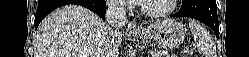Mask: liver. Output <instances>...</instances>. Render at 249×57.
<instances>
[{
	"mask_svg": "<svg viewBox=\"0 0 249 57\" xmlns=\"http://www.w3.org/2000/svg\"><path fill=\"white\" fill-rule=\"evenodd\" d=\"M107 28L85 7L73 4L58 8L38 27L34 57H118L122 35L112 41Z\"/></svg>",
	"mask_w": 249,
	"mask_h": 57,
	"instance_id": "liver-1",
	"label": "liver"
}]
</instances>
